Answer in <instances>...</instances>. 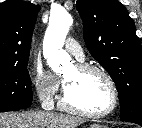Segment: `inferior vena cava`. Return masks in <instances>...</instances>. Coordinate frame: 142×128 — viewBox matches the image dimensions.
Returning a JSON list of instances; mask_svg holds the SVG:
<instances>
[{"label":"inferior vena cava","mask_w":142,"mask_h":128,"mask_svg":"<svg viewBox=\"0 0 142 128\" xmlns=\"http://www.w3.org/2000/svg\"><path fill=\"white\" fill-rule=\"evenodd\" d=\"M44 107H45V109L50 110V107H53V105L50 104V102H49V103H48L47 105H45Z\"/></svg>","instance_id":"inferior-vena-cava-1"}]
</instances>
